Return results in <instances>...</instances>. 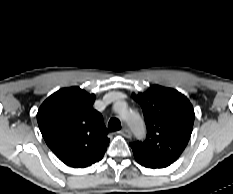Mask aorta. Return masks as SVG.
<instances>
[{
    "mask_svg": "<svg viewBox=\"0 0 233 194\" xmlns=\"http://www.w3.org/2000/svg\"><path fill=\"white\" fill-rule=\"evenodd\" d=\"M116 109L136 134L144 133V123L138 114L128 110L124 102L118 103Z\"/></svg>",
    "mask_w": 233,
    "mask_h": 194,
    "instance_id": "obj_1",
    "label": "aorta"
}]
</instances>
